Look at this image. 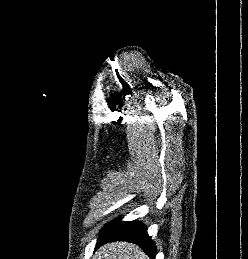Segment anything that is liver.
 <instances>
[{"label": "liver", "mask_w": 248, "mask_h": 259, "mask_svg": "<svg viewBox=\"0 0 248 259\" xmlns=\"http://www.w3.org/2000/svg\"><path fill=\"white\" fill-rule=\"evenodd\" d=\"M93 259H149L135 244L128 242H113L102 246Z\"/></svg>", "instance_id": "obj_1"}]
</instances>
